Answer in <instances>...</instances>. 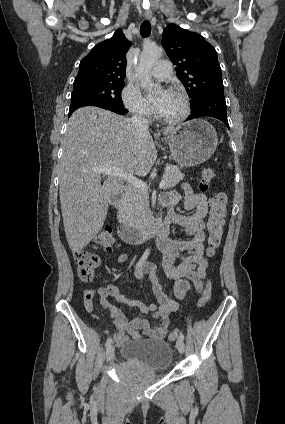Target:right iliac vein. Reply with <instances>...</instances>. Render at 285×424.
Returning <instances> with one entry per match:
<instances>
[{
    "mask_svg": "<svg viewBox=\"0 0 285 424\" xmlns=\"http://www.w3.org/2000/svg\"><path fill=\"white\" fill-rule=\"evenodd\" d=\"M114 353H115L114 346H113V345H110V346L107 348V351H106V360H107V361L112 360V359H113V357H114Z\"/></svg>",
    "mask_w": 285,
    "mask_h": 424,
    "instance_id": "63e3f726",
    "label": "right iliac vein"
}]
</instances>
